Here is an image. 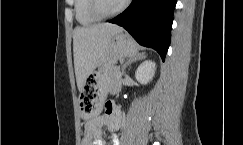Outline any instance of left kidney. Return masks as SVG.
<instances>
[{
  "mask_svg": "<svg viewBox=\"0 0 243 145\" xmlns=\"http://www.w3.org/2000/svg\"><path fill=\"white\" fill-rule=\"evenodd\" d=\"M155 63L147 60L139 65L135 72L136 80L141 84H147L155 75Z\"/></svg>",
  "mask_w": 243,
  "mask_h": 145,
  "instance_id": "1",
  "label": "left kidney"
}]
</instances>
